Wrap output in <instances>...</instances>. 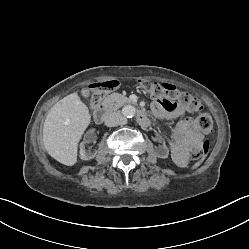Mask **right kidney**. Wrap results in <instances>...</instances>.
<instances>
[{
	"label": "right kidney",
	"mask_w": 249,
	"mask_h": 249,
	"mask_svg": "<svg viewBox=\"0 0 249 249\" xmlns=\"http://www.w3.org/2000/svg\"><path fill=\"white\" fill-rule=\"evenodd\" d=\"M98 131L96 128H91L85 135L84 141L80 145V158L82 160H90L95 157L94 154L88 152L90 147L94 146V141L98 138Z\"/></svg>",
	"instance_id": "ca27d5eb"
}]
</instances>
